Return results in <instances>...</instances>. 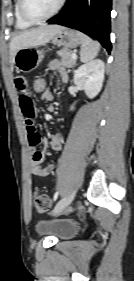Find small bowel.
Listing matches in <instances>:
<instances>
[{
  "mask_svg": "<svg viewBox=\"0 0 134 281\" xmlns=\"http://www.w3.org/2000/svg\"><path fill=\"white\" fill-rule=\"evenodd\" d=\"M51 68L57 71L60 81L62 83L68 82V75L63 68H61L57 61L51 62ZM14 84L18 90V101L20 109L24 118L26 129L28 132V143L30 149V163L29 168L32 175L37 177H48L54 170L56 164L52 162L47 166L42 167L40 164L43 161V153L38 150L41 144V136L36 127V107L32 98V90L30 87V80L26 75H18L14 78ZM41 98L46 101L52 100V94L47 89ZM50 146L53 151L59 152L62 150V140L59 135H52L50 137Z\"/></svg>",
  "mask_w": 134,
  "mask_h": 281,
  "instance_id": "small-bowel-1",
  "label": "small bowel"
}]
</instances>
